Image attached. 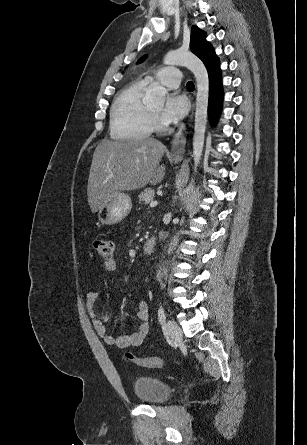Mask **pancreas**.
<instances>
[{
  "label": "pancreas",
  "instance_id": "pancreas-1",
  "mask_svg": "<svg viewBox=\"0 0 307 445\" xmlns=\"http://www.w3.org/2000/svg\"><path fill=\"white\" fill-rule=\"evenodd\" d=\"M154 190L153 188H144L143 192H140L138 194V198L140 200L139 204H147V202H150L152 198H154Z\"/></svg>",
  "mask_w": 307,
  "mask_h": 445
}]
</instances>
